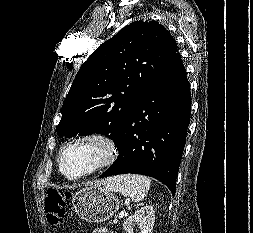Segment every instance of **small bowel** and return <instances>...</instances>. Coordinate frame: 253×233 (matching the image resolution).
<instances>
[{
  "mask_svg": "<svg viewBox=\"0 0 253 233\" xmlns=\"http://www.w3.org/2000/svg\"><path fill=\"white\" fill-rule=\"evenodd\" d=\"M92 233H109V232L107 231V229L99 227V228L94 229Z\"/></svg>",
  "mask_w": 253,
  "mask_h": 233,
  "instance_id": "obj_1",
  "label": "small bowel"
}]
</instances>
